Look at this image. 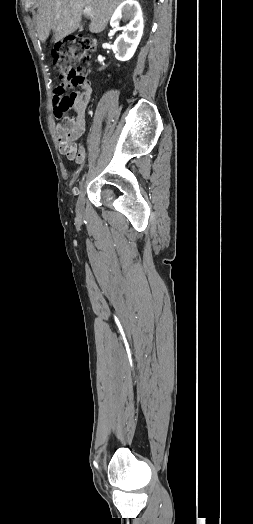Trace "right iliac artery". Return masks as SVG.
<instances>
[{
    "label": "right iliac artery",
    "instance_id": "1",
    "mask_svg": "<svg viewBox=\"0 0 253 524\" xmlns=\"http://www.w3.org/2000/svg\"><path fill=\"white\" fill-rule=\"evenodd\" d=\"M85 177H86V174H84V175L82 176V178H81V180H80V182H79V187H80V188H82V186H83V182H84V180H85Z\"/></svg>",
    "mask_w": 253,
    "mask_h": 524
}]
</instances>
